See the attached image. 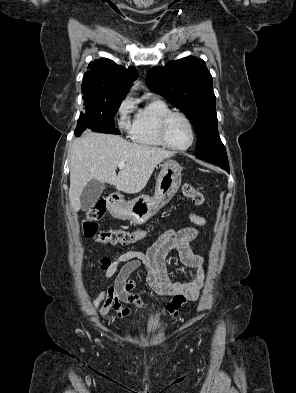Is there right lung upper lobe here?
<instances>
[{
  "mask_svg": "<svg viewBox=\"0 0 296 393\" xmlns=\"http://www.w3.org/2000/svg\"><path fill=\"white\" fill-rule=\"evenodd\" d=\"M137 75L134 67L126 69L109 59L92 61L83 77L82 98L84 100L125 98Z\"/></svg>",
  "mask_w": 296,
  "mask_h": 393,
  "instance_id": "obj_1",
  "label": "right lung upper lobe"
}]
</instances>
